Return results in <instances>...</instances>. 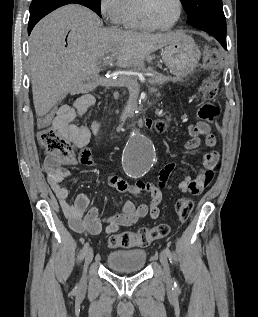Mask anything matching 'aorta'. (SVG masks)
<instances>
[{
  "label": "aorta",
  "mask_w": 258,
  "mask_h": 317,
  "mask_svg": "<svg viewBox=\"0 0 258 317\" xmlns=\"http://www.w3.org/2000/svg\"><path fill=\"white\" fill-rule=\"evenodd\" d=\"M154 160L155 149L152 141L136 129L130 136L123 153L124 171L130 177H141L151 169Z\"/></svg>",
  "instance_id": "762f6f07"
}]
</instances>
